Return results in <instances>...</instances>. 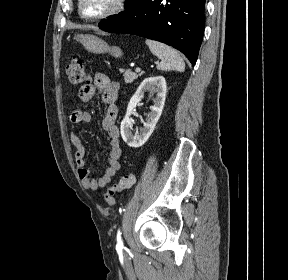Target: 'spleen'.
<instances>
[{"instance_id":"1","label":"spleen","mask_w":288,"mask_h":280,"mask_svg":"<svg viewBox=\"0 0 288 280\" xmlns=\"http://www.w3.org/2000/svg\"><path fill=\"white\" fill-rule=\"evenodd\" d=\"M145 42L150 51L161 60L157 65V69L164 71L177 70L181 72L185 70V63L175 49L150 39H147Z\"/></svg>"}]
</instances>
